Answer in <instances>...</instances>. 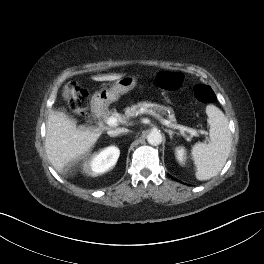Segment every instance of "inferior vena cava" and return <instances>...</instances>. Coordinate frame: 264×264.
Here are the masks:
<instances>
[{"label": "inferior vena cava", "instance_id": "602c4592", "mask_svg": "<svg viewBox=\"0 0 264 264\" xmlns=\"http://www.w3.org/2000/svg\"><path fill=\"white\" fill-rule=\"evenodd\" d=\"M127 132H128V129L126 128H116V129L109 130L107 133L110 136H117L119 134L127 133Z\"/></svg>", "mask_w": 264, "mask_h": 264}]
</instances>
